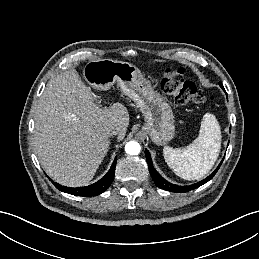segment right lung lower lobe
Masks as SVG:
<instances>
[{
  "label": "right lung lower lobe",
  "instance_id": "right-lung-lower-lobe-1",
  "mask_svg": "<svg viewBox=\"0 0 259 259\" xmlns=\"http://www.w3.org/2000/svg\"><path fill=\"white\" fill-rule=\"evenodd\" d=\"M115 167H116V158L111 168L109 169L108 173L102 179L89 186L70 188V187L62 186L56 182H52V183L55 185L57 189L68 194H72L75 196H86V197L96 196L103 193L105 190H107L110 187L114 179Z\"/></svg>",
  "mask_w": 259,
  "mask_h": 259
}]
</instances>
